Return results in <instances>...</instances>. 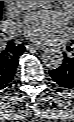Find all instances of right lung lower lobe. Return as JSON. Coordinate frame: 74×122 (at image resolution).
<instances>
[{
  "label": "right lung lower lobe",
  "instance_id": "1",
  "mask_svg": "<svg viewBox=\"0 0 74 122\" xmlns=\"http://www.w3.org/2000/svg\"><path fill=\"white\" fill-rule=\"evenodd\" d=\"M24 51L23 45H18L9 52L0 50V90L11 85L18 59Z\"/></svg>",
  "mask_w": 74,
  "mask_h": 122
}]
</instances>
